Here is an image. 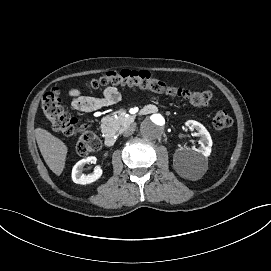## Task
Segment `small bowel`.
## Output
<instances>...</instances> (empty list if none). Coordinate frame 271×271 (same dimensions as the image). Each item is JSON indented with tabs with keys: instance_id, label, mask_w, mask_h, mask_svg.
I'll return each mask as SVG.
<instances>
[{
	"instance_id": "1",
	"label": "small bowel",
	"mask_w": 271,
	"mask_h": 271,
	"mask_svg": "<svg viewBox=\"0 0 271 271\" xmlns=\"http://www.w3.org/2000/svg\"><path fill=\"white\" fill-rule=\"evenodd\" d=\"M73 109L80 112H97L103 108L117 104L121 99L120 91L114 86H107L101 97L83 95L78 89L70 91Z\"/></svg>"
}]
</instances>
